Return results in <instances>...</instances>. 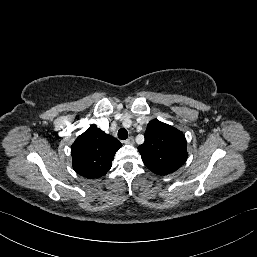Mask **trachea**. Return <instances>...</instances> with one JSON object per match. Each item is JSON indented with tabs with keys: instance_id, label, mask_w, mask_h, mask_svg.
<instances>
[{
	"instance_id": "3493384b",
	"label": "trachea",
	"mask_w": 257,
	"mask_h": 257,
	"mask_svg": "<svg viewBox=\"0 0 257 257\" xmlns=\"http://www.w3.org/2000/svg\"><path fill=\"white\" fill-rule=\"evenodd\" d=\"M118 137L121 140H126L128 138V132L126 129L122 128L118 131Z\"/></svg>"
}]
</instances>
